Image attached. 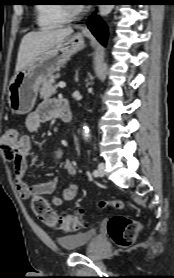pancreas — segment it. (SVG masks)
Here are the masks:
<instances>
[{
	"mask_svg": "<svg viewBox=\"0 0 174 278\" xmlns=\"http://www.w3.org/2000/svg\"><path fill=\"white\" fill-rule=\"evenodd\" d=\"M59 77V75L51 76L47 80H45L42 84V88L40 89V98H49L52 95L56 94V85L55 79Z\"/></svg>",
	"mask_w": 174,
	"mask_h": 278,
	"instance_id": "cf45deb5",
	"label": "pancreas"
}]
</instances>
